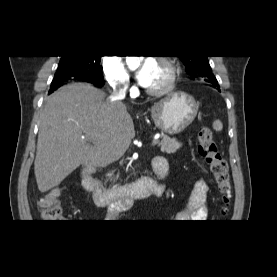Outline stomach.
Segmentation results:
<instances>
[{"label": "stomach", "mask_w": 277, "mask_h": 277, "mask_svg": "<svg viewBox=\"0 0 277 277\" xmlns=\"http://www.w3.org/2000/svg\"><path fill=\"white\" fill-rule=\"evenodd\" d=\"M198 108V103L192 96L177 91L155 103L150 111L158 129L165 134L175 135L193 122Z\"/></svg>", "instance_id": "stomach-1"}]
</instances>
